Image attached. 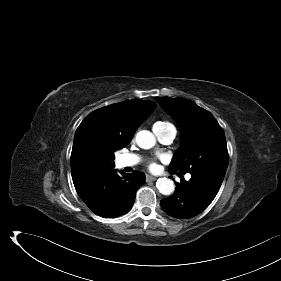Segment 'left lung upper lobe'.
Segmentation results:
<instances>
[{
	"instance_id": "1",
	"label": "left lung upper lobe",
	"mask_w": 281,
	"mask_h": 281,
	"mask_svg": "<svg viewBox=\"0 0 281 281\" xmlns=\"http://www.w3.org/2000/svg\"><path fill=\"white\" fill-rule=\"evenodd\" d=\"M155 99L178 122L182 133V144L169 170L183 174H225L229 162L226 139L213 115L185 98Z\"/></svg>"
}]
</instances>
